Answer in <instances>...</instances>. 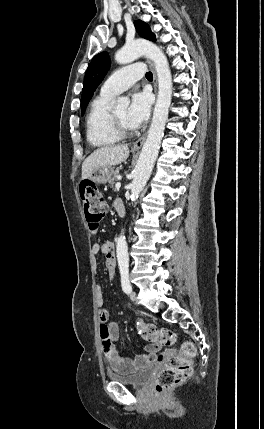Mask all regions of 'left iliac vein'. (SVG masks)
Returning <instances> with one entry per match:
<instances>
[{"label":"left iliac vein","instance_id":"4c4485c4","mask_svg":"<svg viewBox=\"0 0 264 429\" xmlns=\"http://www.w3.org/2000/svg\"><path fill=\"white\" fill-rule=\"evenodd\" d=\"M130 298L131 300L135 301L136 300V292L135 291H131L130 292Z\"/></svg>","mask_w":264,"mask_h":429}]
</instances>
